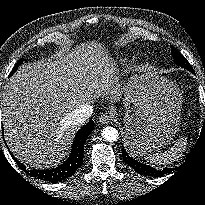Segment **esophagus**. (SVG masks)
<instances>
[{
  "label": "esophagus",
  "mask_w": 205,
  "mask_h": 205,
  "mask_svg": "<svg viewBox=\"0 0 205 205\" xmlns=\"http://www.w3.org/2000/svg\"><path fill=\"white\" fill-rule=\"evenodd\" d=\"M109 121H110V118L107 115H104L100 118V122L103 124H107Z\"/></svg>",
  "instance_id": "34e87169"
}]
</instances>
